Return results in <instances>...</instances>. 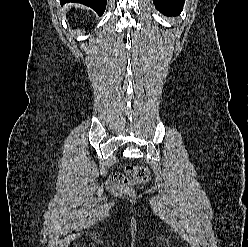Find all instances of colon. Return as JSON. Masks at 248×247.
Returning a JSON list of instances; mask_svg holds the SVG:
<instances>
[{"label":"colon","mask_w":248,"mask_h":247,"mask_svg":"<svg viewBox=\"0 0 248 247\" xmlns=\"http://www.w3.org/2000/svg\"><path fill=\"white\" fill-rule=\"evenodd\" d=\"M150 179L148 169L142 165H128L123 173L114 175L113 186L125 194H133L134 187L146 184Z\"/></svg>","instance_id":"5ec220e1"}]
</instances>
